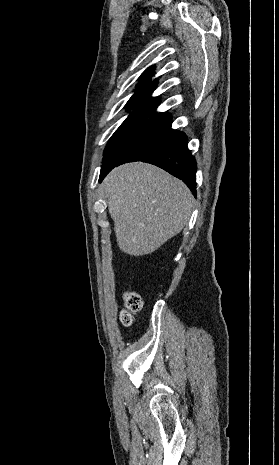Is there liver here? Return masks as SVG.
<instances>
[{"instance_id":"obj_1","label":"liver","mask_w":279,"mask_h":465,"mask_svg":"<svg viewBox=\"0 0 279 465\" xmlns=\"http://www.w3.org/2000/svg\"><path fill=\"white\" fill-rule=\"evenodd\" d=\"M102 189L120 250L131 256L154 252L187 224L193 195L179 179L143 162L114 168Z\"/></svg>"}]
</instances>
